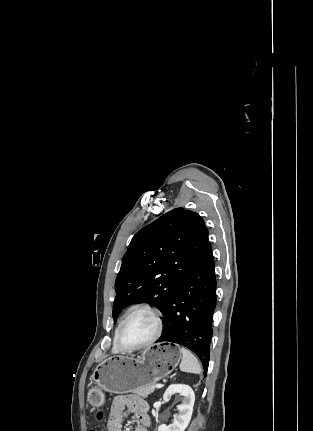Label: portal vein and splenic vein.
<instances>
[{"instance_id":"1","label":"portal vein and splenic vein","mask_w":313,"mask_h":431,"mask_svg":"<svg viewBox=\"0 0 313 431\" xmlns=\"http://www.w3.org/2000/svg\"><path fill=\"white\" fill-rule=\"evenodd\" d=\"M154 387H155V388H162V387H163V385H162V384H156V385H154Z\"/></svg>"}]
</instances>
